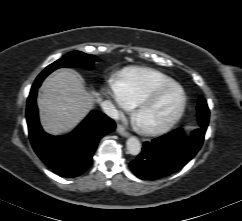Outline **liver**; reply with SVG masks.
Wrapping results in <instances>:
<instances>
[{"mask_svg": "<svg viewBox=\"0 0 242 221\" xmlns=\"http://www.w3.org/2000/svg\"><path fill=\"white\" fill-rule=\"evenodd\" d=\"M83 78L71 70H60L42 83L37 99L43 129L51 135L73 130L101 100L97 92H89Z\"/></svg>", "mask_w": 242, "mask_h": 221, "instance_id": "6515ba94", "label": "liver"}]
</instances>
